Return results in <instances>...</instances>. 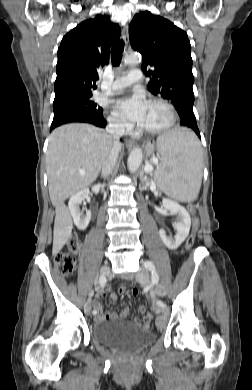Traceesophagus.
Listing matches in <instances>:
<instances>
[{"label":"esophagus","instance_id":"34e87169","mask_svg":"<svg viewBox=\"0 0 252 390\" xmlns=\"http://www.w3.org/2000/svg\"><path fill=\"white\" fill-rule=\"evenodd\" d=\"M122 38H123L125 44H128L129 35H128V26L127 25H124L122 28ZM125 145H126V147L131 148L134 146V141H132L130 139H126Z\"/></svg>","mask_w":252,"mask_h":390}]
</instances>
